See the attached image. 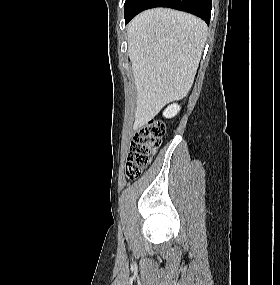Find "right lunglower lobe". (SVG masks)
Instances as JSON below:
<instances>
[{
    "mask_svg": "<svg viewBox=\"0 0 280 285\" xmlns=\"http://www.w3.org/2000/svg\"><path fill=\"white\" fill-rule=\"evenodd\" d=\"M153 7H169L186 11L202 18L209 25L212 0H139L134 11L125 17V22L128 23L141 11Z\"/></svg>",
    "mask_w": 280,
    "mask_h": 285,
    "instance_id": "right-lung-lower-lobe-1",
    "label": "right lung lower lobe"
}]
</instances>
